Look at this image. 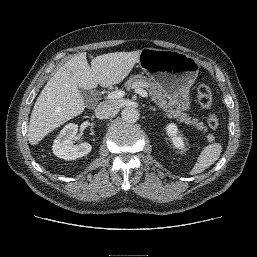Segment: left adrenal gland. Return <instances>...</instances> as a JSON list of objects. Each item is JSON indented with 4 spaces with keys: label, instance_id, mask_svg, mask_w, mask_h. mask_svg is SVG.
<instances>
[{
    "label": "left adrenal gland",
    "instance_id": "left-adrenal-gland-1",
    "mask_svg": "<svg viewBox=\"0 0 257 257\" xmlns=\"http://www.w3.org/2000/svg\"><path fill=\"white\" fill-rule=\"evenodd\" d=\"M149 110L156 111V109H155V108H153V107H149Z\"/></svg>",
    "mask_w": 257,
    "mask_h": 257
}]
</instances>
